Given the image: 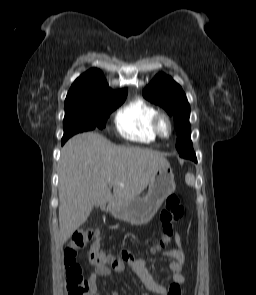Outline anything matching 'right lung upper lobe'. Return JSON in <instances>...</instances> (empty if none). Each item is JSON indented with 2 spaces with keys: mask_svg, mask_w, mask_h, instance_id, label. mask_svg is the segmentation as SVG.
<instances>
[{
  "mask_svg": "<svg viewBox=\"0 0 256 295\" xmlns=\"http://www.w3.org/2000/svg\"><path fill=\"white\" fill-rule=\"evenodd\" d=\"M124 94H127V89L114 92L109 88L102 72L93 68L74 81L67 94L65 107L90 100L115 98Z\"/></svg>",
  "mask_w": 256,
  "mask_h": 295,
  "instance_id": "obj_1",
  "label": "right lung upper lobe"
}]
</instances>
